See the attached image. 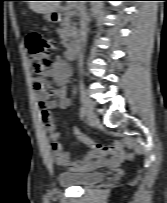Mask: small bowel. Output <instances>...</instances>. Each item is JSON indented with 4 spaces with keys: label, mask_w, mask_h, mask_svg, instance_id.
Here are the masks:
<instances>
[{
    "label": "small bowel",
    "mask_w": 167,
    "mask_h": 203,
    "mask_svg": "<svg viewBox=\"0 0 167 203\" xmlns=\"http://www.w3.org/2000/svg\"><path fill=\"white\" fill-rule=\"evenodd\" d=\"M71 69L61 56H57L53 66L46 72L32 78L33 88L38 92V104L50 139L52 159L61 169L74 172H87L102 167H116L126 154L120 141L102 145L84 135L79 128H74L77 139L85 144L89 151L82 159L70 160L69 153L63 150L58 141L59 134L54 125L52 111L65 109L69 105L67 97Z\"/></svg>",
    "instance_id": "1"
}]
</instances>
